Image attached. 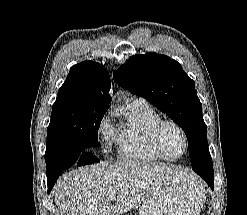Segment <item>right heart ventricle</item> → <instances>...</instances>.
Instances as JSON below:
<instances>
[{
  "instance_id": "right-heart-ventricle-1",
  "label": "right heart ventricle",
  "mask_w": 247,
  "mask_h": 215,
  "mask_svg": "<svg viewBox=\"0 0 247 215\" xmlns=\"http://www.w3.org/2000/svg\"><path fill=\"white\" fill-rule=\"evenodd\" d=\"M123 116L124 121L110 139L119 159L134 163L164 160L155 153L150 140V130L161 120L160 115L146 101L135 99L124 106Z\"/></svg>"
}]
</instances>
